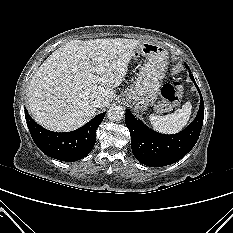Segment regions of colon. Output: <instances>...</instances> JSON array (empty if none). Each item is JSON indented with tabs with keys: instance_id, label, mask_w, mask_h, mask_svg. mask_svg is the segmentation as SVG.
<instances>
[{
	"instance_id": "1",
	"label": "colon",
	"mask_w": 233,
	"mask_h": 233,
	"mask_svg": "<svg viewBox=\"0 0 233 233\" xmlns=\"http://www.w3.org/2000/svg\"><path fill=\"white\" fill-rule=\"evenodd\" d=\"M184 93V86L180 81L174 80L165 84L161 89L160 100L157 103V110L166 112L172 106L177 105Z\"/></svg>"
}]
</instances>
